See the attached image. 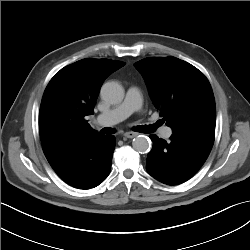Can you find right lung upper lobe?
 Masks as SVG:
<instances>
[{"mask_svg": "<svg viewBox=\"0 0 250 250\" xmlns=\"http://www.w3.org/2000/svg\"><path fill=\"white\" fill-rule=\"evenodd\" d=\"M124 62L108 59H82L62 68L44 92L39 131L48 159L63 149L98 134L86 120L94 113L104 80Z\"/></svg>", "mask_w": 250, "mask_h": 250, "instance_id": "right-lung-upper-lobe-1", "label": "right lung upper lobe"}]
</instances>
